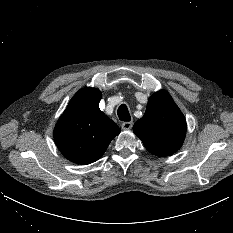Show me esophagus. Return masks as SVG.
Returning a JSON list of instances; mask_svg holds the SVG:
<instances>
[{
    "label": "esophagus",
    "mask_w": 233,
    "mask_h": 233,
    "mask_svg": "<svg viewBox=\"0 0 233 233\" xmlns=\"http://www.w3.org/2000/svg\"><path fill=\"white\" fill-rule=\"evenodd\" d=\"M132 126H133V122L132 121H130V122H123L122 125H121V127H122L123 130H129V129L132 128Z\"/></svg>",
    "instance_id": "obj_1"
}]
</instances>
